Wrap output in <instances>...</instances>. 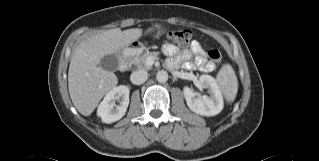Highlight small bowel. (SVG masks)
<instances>
[{
  "instance_id": "obj_1",
  "label": "small bowel",
  "mask_w": 319,
  "mask_h": 161,
  "mask_svg": "<svg viewBox=\"0 0 319 161\" xmlns=\"http://www.w3.org/2000/svg\"><path fill=\"white\" fill-rule=\"evenodd\" d=\"M162 51L170 57L167 64L171 68L182 65L187 70L198 69L203 72H210L214 68L213 64L207 61L203 48L196 41L184 50H179L175 45L166 44ZM192 56H195L194 61H191Z\"/></svg>"
}]
</instances>
